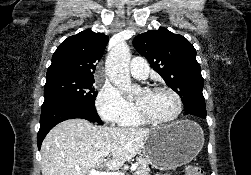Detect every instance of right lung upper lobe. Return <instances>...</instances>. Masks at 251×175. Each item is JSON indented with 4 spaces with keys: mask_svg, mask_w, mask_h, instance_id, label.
<instances>
[{
    "mask_svg": "<svg viewBox=\"0 0 251 175\" xmlns=\"http://www.w3.org/2000/svg\"><path fill=\"white\" fill-rule=\"evenodd\" d=\"M108 41L104 33L90 29L66 38L54 52L46 77L94 78L96 63L102 58Z\"/></svg>",
    "mask_w": 251,
    "mask_h": 175,
    "instance_id": "right-lung-upper-lobe-1",
    "label": "right lung upper lobe"
}]
</instances>
